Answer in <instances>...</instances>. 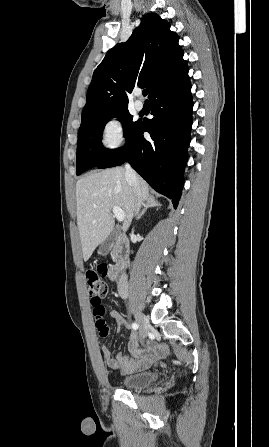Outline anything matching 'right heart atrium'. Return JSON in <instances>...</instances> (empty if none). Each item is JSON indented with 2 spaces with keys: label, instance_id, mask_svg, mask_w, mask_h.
<instances>
[{
  "label": "right heart atrium",
  "instance_id": "obj_1",
  "mask_svg": "<svg viewBox=\"0 0 269 447\" xmlns=\"http://www.w3.org/2000/svg\"><path fill=\"white\" fill-rule=\"evenodd\" d=\"M99 140L108 149L120 147L125 140V128L122 119L118 116L108 118L101 128Z\"/></svg>",
  "mask_w": 269,
  "mask_h": 447
}]
</instances>
